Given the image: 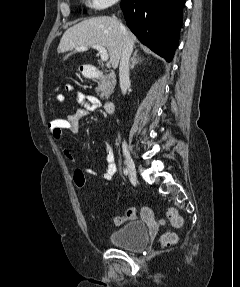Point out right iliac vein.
Returning a JSON list of instances; mask_svg holds the SVG:
<instances>
[{"instance_id":"1","label":"right iliac vein","mask_w":240,"mask_h":287,"mask_svg":"<svg viewBox=\"0 0 240 287\" xmlns=\"http://www.w3.org/2000/svg\"><path fill=\"white\" fill-rule=\"evenodd\" d=\"M124 155H125L129 175L131 176L133 180H136V168H135L134 161L128 151H125Z\"/></svg>"}]
</instances>
